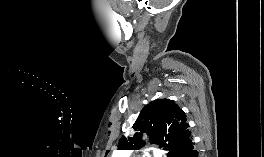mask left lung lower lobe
Segmentation results:
<instances>
[{"label": "left lung lower lobe", "mask_w": 264, "mask_h": 157, "mask_svg": "<svg viewBox=\"0 0 264 157\" xmlns=\"http://www.w3.org/2000/svg\"><path fill=\"white\" fill-rule=\"evenodd\" d=\"M176 157H198L192 138L188 139L177 151Z\"/></svg>", "instance_id": "obj_1"}]
</instances>
